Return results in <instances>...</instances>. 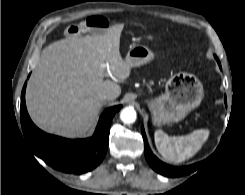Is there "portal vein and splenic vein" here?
I'll return each mask as SVG.
<instances>
[{"mask_svg":"<svg viewBox=\"0 0 245 195\" xmlns=\"http://www.w3.org/2000/svg\"><path fill=\"white\" fill-rule=\"evenodd\" d=\"M106 68H107V71L109 72V66L108 65H106Z\"/></svg>","mask_w":245,"mask_h":195,"instance_id":"1","label":"portal vein and splenic vein"}]
</instances>
